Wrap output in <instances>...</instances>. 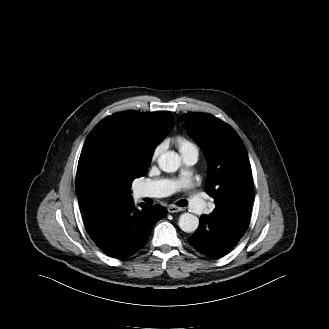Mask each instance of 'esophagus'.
Wrapping results in <instances>:
<instances>
[{
  "label": "esophagus",
  "mask_w": 329,
  "mask_h": 329,
  "mask_svg": "<svg viewBox=\"0 0 329 329\" xmlns=\"http://www.w3.org/2000/svg\"><path fill=\"white\" fill-rule=\"evenodd\" d=\"M180 211H183V208L177 207L175 205L168 206V212H170V213H175V212H180Z\"/></svg>",
  "instance_id": "34e87169"
}]
</instances>
